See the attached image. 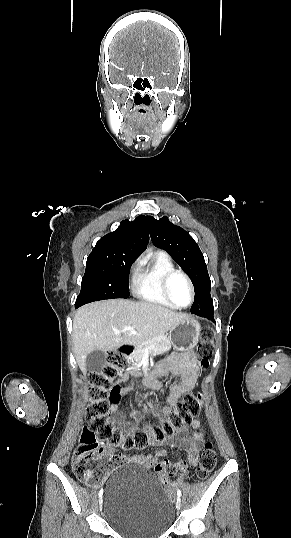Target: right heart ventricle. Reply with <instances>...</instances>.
Listing matches in <instances>:
<instances>
[{
	"mask_svg": "<svg viewBox=\"0 0 291 538\" xmlns=\"http://www.w3.org/2000/svg\"><path fill=\"white\" fill-rule=\"evenodd\" d=\"M176 269L171 257L164 251L151 252L143 260L135 275L134 291L145 302L173 308L165 298L162 280L166 273Z\"/></svg>",
	"mask_w": 291,
	"mask_h": 538,
	"instance_id": "obj_1",
	"label": "right heart ventricle"
}]
</instances>
